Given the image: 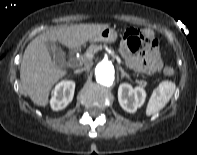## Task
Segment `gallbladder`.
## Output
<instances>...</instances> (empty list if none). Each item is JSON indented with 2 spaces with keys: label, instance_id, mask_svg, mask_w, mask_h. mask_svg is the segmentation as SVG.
<instances>
[{
  "label": "gallbladder",
  "instance_id": "obj_1",
  "mask_svg": "<svg viewBox=\"0 0 197 155\" xmlns=\"http://www.w3.org/2000/svg\"><path fill=\"white\" fill-rule=\"evenodd\" d=\"M46 47L48 51L53 56L54 64L58 67L63 66L66 61V54L65 52L58 47L55 43L48 42L46 43Z\"/></svg>",
  "mask_w": 197,
  "mask_h": 155
}]
</instances>
